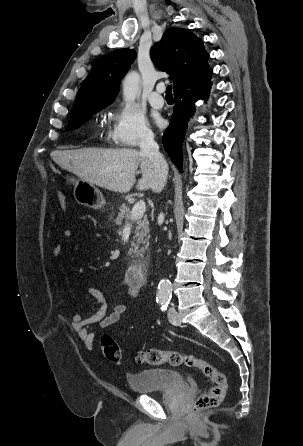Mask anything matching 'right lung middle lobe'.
I'll return each mask as SVG.
<instances>
[{
	"mask_svg": "<svg viewBox=\"0 0 303 446\" xmlns=\"http://www.w3.org/2000/svg\"><path fill=\"white\" fill-rule=\"evenodd\" d=\"M104 107H106V106H100V107H96V108L85 110L83 112L72 114L71 117H70V120H69V123L67 125L66 130L77 129L83 123H85L92 114L100 111Z\"/></svg>",
	"mask_w": 303,
	"mask_h": 446,
	"instance_id": "dd1d6c3e",
	"label": "right lung middle lobe"
}]
</instances>
